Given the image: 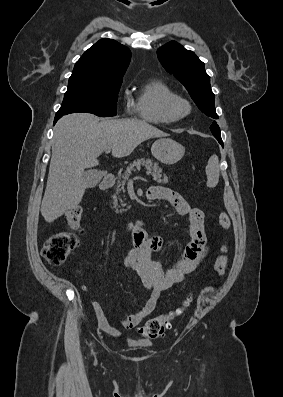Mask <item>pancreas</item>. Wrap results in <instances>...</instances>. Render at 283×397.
I'll return each instance as SVG.
<instances>
[{
	"instance_id": "1",
	"label": "pancreas",
	"mask_w": 283,
	"mask_h": 397,
	"mask_svg": "<svg viewBox=\"0 0 283 397\" xmlns=\"http://www.w3.org/2000/svg\"><path fill=\"white\" fill-rule=\"evenodd\" d=\"M141 166L145 167L146 173L151 174L153 176V179L158 183H168V177L165 174H162V168L159 167V164L157 162H153V160L151 159L140 158L130 164L125 172L118 176L115 196H117L121 191H125V184L127 183L131 175V171L139 169ZM117 212L119 213L121 212V210Z\"/></svg>"
}]
</instances>
